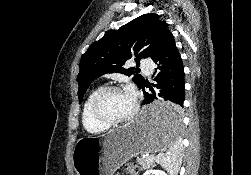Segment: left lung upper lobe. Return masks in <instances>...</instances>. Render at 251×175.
Masks as SVG:
<instances>
[{"label":"left lung upper lobe","instance_id":"1","mask_svg":"<svg viewBox=\"0 0 251 175\" xmlns=\"http://www.w3.org/2000/svg\"><path fill=\"white\" fill-rule=\"evenodd\" d=\"M169 33L168 24L154 13L141 15L118 30L107 31L82 55L77 77L79 100L83 99L90 83L105 73L119 72L127 76L137 73L138 68L125 69V62L135 60L139 64L142 58H152ZM132 80L142 87L144 78L141 75L135 74Z\"/></svg>","mask_w":251,"mask_h":175}]
</instances>
